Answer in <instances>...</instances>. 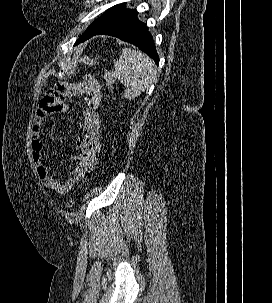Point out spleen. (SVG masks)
Wrapping results in <instances>:
<instances>
[{"instance_id": "obj_1", "label": "spleen", "mask_w": 272, "mask_h": 303, "mask_svg": "<svg viewBox=\"0 0 272 303\" xmlns=\"http://www.w3.org/2000/svg\"><path fill=\"white\" fill-rule=\"evenodd\" d=\"M157 69L152 59L142 52L125 48L114 63L113 77L125 87L124 96L134 99L154 82Z\"/></svg>"}]
</instances>
